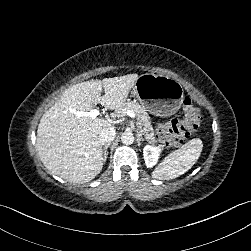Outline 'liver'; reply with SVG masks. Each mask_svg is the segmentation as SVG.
Instances as JSON below:
<instances>
[{"label":"liver","mask_w":251,"mask_h":251,"mask_svg":"<svg viewBox=\"0 0 251 251\" xmlns=\"http://www.w3.org/2000/svg\"><path fill=\"white\" fill-rule=\"evenodd\" d=\"M138 74L90 80L67 89L59 101L40 119L36 148L40 160L53 174L73 183L94 179L102 170L99 134L111 123L101 118H77L69 109L89 112L95 105L117 110L124 102ZM104 89L105 94L101 96Z\"/></svg>","instance_id":"6515ba94"}]
</instances>
